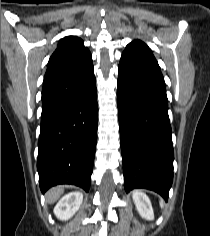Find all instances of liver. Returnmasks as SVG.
<instances>
[{
	"label": "liver",
	"instance_id": "obj_1",
	"mask_svg": "<svg viewBox=\"0 0 210 236\" xmlns=\"http://www.w3.org/2000/svg\"><path fill=\"white\" fill-rule=\"evenodd\" d=\"M64 187L58 186L50 189L46 194L47 202L54 203L63 193Z\"/></svg>",
	"mask_w": 210,
	"mask_h": 236
}]
</instances>
